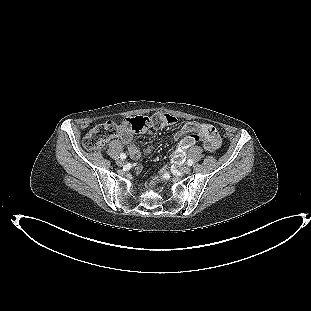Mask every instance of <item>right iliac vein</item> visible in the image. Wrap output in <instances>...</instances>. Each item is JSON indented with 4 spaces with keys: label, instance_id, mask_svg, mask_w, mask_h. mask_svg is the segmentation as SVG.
<instances>
[{
    "label": "right iliac vein",
    "instance_id": "right-iliac-vein-1",
    "mask_svg": "<svg viewBox=\"0 0 311 311\" xmlns=\"http://www.w3.org/2000/svg\"><path fill=\"white\" fill-rule=\"evenodd\" d=\"M117 164H118L119 166H123L125 163H124L123 160H119V161H117Z\"/></svg>",
    "mask_w": 311,
    "mask_h": 311
}]
</instances>
